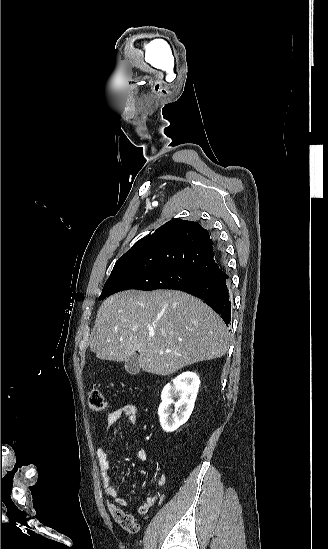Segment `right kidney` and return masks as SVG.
<instances>
[{"instance_id":"ca27d5eb","label":"right kidney","mask_w":328,"mask_h":549,"mask_svg":"<svg viewBox=\"0 0 328 549\" xmlns=\"http://www.w3.org/2000/svg\"><path fill=\"white\" fill-rule=\"evenodd\" d=\"M200 387V379L196 373H182L172 383L165 385L162 393L158 415L163 431L173 433L180 425H184L188 421L196 401L198 389ZM175 395H179L180 399L174 403ZM170 405H174L175 409H180L178 413H174L170 417L172 411Z\"/></svg>"}]
</instances>
